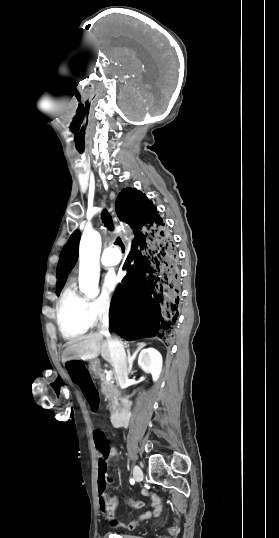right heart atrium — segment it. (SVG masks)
<instances>
[{"label": "right heart atrium", "mask_w": 279, "mask_h": 538, "mask_svg": "<svg viewBox=\"0 0 279 538\" xmlns=\"http://www.w3.org/2000/svg\"><path fill=\"white\" fill-rule=\"evenodd\" d=\"M90 312L94 324L108 320L114 313V303L108 294H103L91 300Z\"/></svg>", "instance_id": "d8ad5b80"}]
</instances>
